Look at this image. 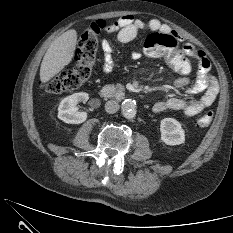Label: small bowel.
Masks as SVG:
<instances>
[{
  "mask_svg": "<svg viewBox=\"0 0 233 233\" xmlns=\"http://www.w3.org/2000/svg\"><path fill=\"white\" fill-rule=\"evenodd\" d=\"M107 30L115 32L117 42L122 44L132 41L140 32L146 30L171 33L177 36L166 24L158 19L144 21L132 15L120 17ZM102 50L104 52L102 72L107 75L113 69L112 54L114 47L111 42L103 41ZM182 50L185 55L196 62L197 77L194 82L186 77H179L173 82V88L183 89L192 95L201 94V96L191 99L170 97L160 100L154 103L152 107L155 113L173 110L179 111L188 117L195 116L211 106L219 93V83L210 72L211 64L205 52L187 42L183 43ZM131 58L137 60L140 58V54L135 52L131 55Z\"/></svg>",
  "mask_w": 233,
  "mask_h": 233,
  "instance_id": "obj_1",
  "label": "small bowel"
}]
</instances>
